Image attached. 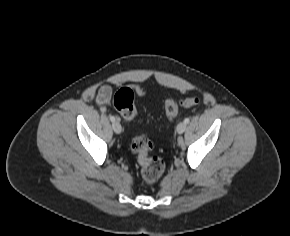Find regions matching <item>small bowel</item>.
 Listing matches in <instances>:
<instances>
[{
    "instance_id": "obj_1",
    "label": "small bowel",
    "mask_w": 290,
    "mask_h": 236,
    "mask_svg": "<svg viewBox=\"0 0 290 236\" xmlns=\"http://www.w3.org/2000/svg\"><path fill=\"white\" fill-rule=\"evenodd\" d=\"M137 91L142 94V90L137 88ZM112 96V88L109 85H103L100 87V89L98 90V94H97V104L101 107H105Z\"/></svg>"
}]
</instances>
